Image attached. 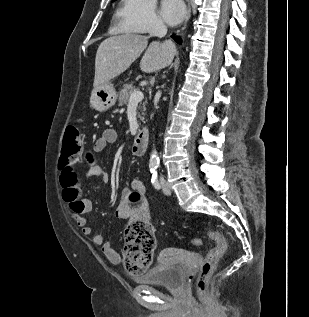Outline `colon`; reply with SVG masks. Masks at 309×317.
<instances>
[{"instance_id": "obj_1", "label": "colon", "mask_w": 309, "mask_h": 317, "mask_svg": "<svg viewBox=\"0 0 309 317\" xmlns=\"http://www.w3.org/2000/svg\"><path fill=\"white\" fill-rule=\"evenodd\" d=\"M81 151L82 142L79 129L75 126H68L63 138L59 161L60 170L63 171L71 167L78 160ZM61 181L65 182V176H61ZM131 199L136 201L139 199V195L133 193ZM206 235L214 243V246L208 251L197 277L196 290L201 300L207 299L209 280L219 259L227 249L226 239L221 233L209 230ZM156 244L154 228L150 222L143 219L131 220L124 231L123 248V261L128 272L131 274L145 272L152 263ZM192 244L199 246L201 240L195 238Z\"/></svg>"}]
</instances>
